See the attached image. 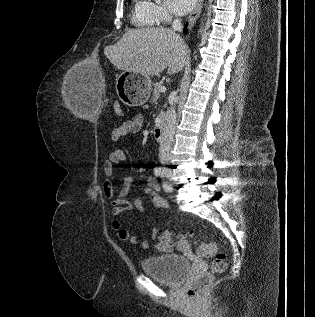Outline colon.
Returning <instances> with one entry per match:
<instances>
[{
    "label": "colon",
    "mask_w": 315,
    "mask_h": 317,
    "mask_svg": "<svg viewBox=\"0 0 315 317\" xmlns=\"http://www.w3.org/2000/svg\"><path fill=\"white\" fill-rule=\"evenodd\" d=\"M115 111L118 115L122 114V109L119 104L116 105ZM174 237L175 235L173 232H162L158 238L159 250L164 252L171 251L174 246ZM191 237H193V234L190 232L177 235L179 242ZM195 243L197 246V253L200 256L213 257V260L209 270L195 278L188 286L186 295L190 300L198 299L210 285L213 277L223 273L227 267V254L225 251L220 250L219 245L216 242L204 244L199 240H195Z\"/></svg>",
    "instance_id": "5ec220e1"
}]
</instances>
